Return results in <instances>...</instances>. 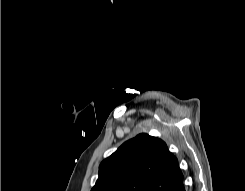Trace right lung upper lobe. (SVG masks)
<instances>
[{"label":"right lung upper lobe","instance_id":"cb5924a9","mask_svg":"<svg viewBox=\"0 0 245 191\" xmlns=\"http://www.w3.org/2000/svg\"><path fill=\"white\" fill-rule=\"evenodd\" d=\"M182 181L178 160L165 142L139 134L100 164L91 191H171Z\"/></svg>","mask_w":245,"mask_h":191}]
</instances>
